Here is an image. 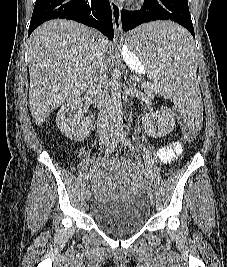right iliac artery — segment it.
I'll list each match as a JSON object with an SVG mask.
<instances>
[{
    "mask_svg": "<svg viewBox=\"0 0 227 267\" xmlns=\"http://www.w3.org/2000/svg\"><path fill=\"white\" fill-rule=\"evenodd\" d=\"M118 139H119V136L117 133H115L113 139H112V142L110 144V146L106 149V151L103 153V157H106L108 156L109 154H111L112 152H114V150L116 149L117 145H118ZM99 166L98 164L96 166H94V168L92 170H90V172L88 173L87 175V179H91L92 175H93V172L94 170L96 169V167Z\"/></svg>",
    "mask_w": 227,
    "mask_h": 267,
    "instance_id": "1",
    "label": "right iliac artery"
}]
</instances>
